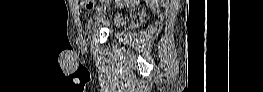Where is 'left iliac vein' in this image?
Returning <instances> with one entry per match:
<instances>
[{"label": "left iliac vein", "instance_id": "4c4485c4", "mask_svg": "<svg viewBox=\"0 0 263 92\" xmlns=\"http://www.w3.org/2000/svg\"><path fill=\"white\" fill-rule=\"evenodd\" d=\"M95 6L98 7V11L96 13V18H101V13L103 9V4L101 2H96Z\"/></svg>", "mask_w": 263, "mask_h": 92}]
</instances>
